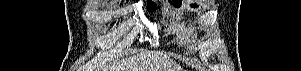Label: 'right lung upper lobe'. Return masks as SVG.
Returning a JSON list of instances; mask_svg holds the SVG:
<instances>
[{
	"label": "right lung upper lobe",
	"instance_id": "right-lung-upper-lobe-1",
	"mask_svg": "<svg viewBox=\"0 0 301 71\" xmlns=\"http://www.w3.org/2000/svg\"><path fill=\"white\" fill-rule=\"evenodd\" d=\"M149 5H155L154 3L151 2V0L149 1Z\"/></svg>",
	"mask_w": 301,
	"mask_h": 71
}]
</instances>
